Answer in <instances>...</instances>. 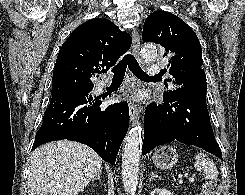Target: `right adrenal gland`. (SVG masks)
<instances>
[{"instance_id":"right-adrenal-gland-1","label":"right adrenal gland","mask_w":245,"mask_h":195,"mask_svg":"<svg viewBox=\"0 0 245 195\" xmlns=\"http://www.w3.org/2000/svg\"><path fill=\"white\" fill-rule=\"evenodd\" d=\"M95 180L101 181V171L98 172V174L94 178H92V182H94Z\"/></svg>"}]
</instances>
